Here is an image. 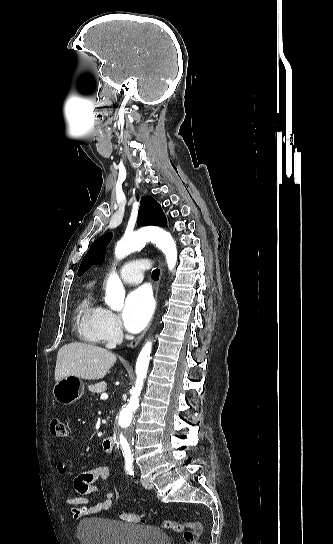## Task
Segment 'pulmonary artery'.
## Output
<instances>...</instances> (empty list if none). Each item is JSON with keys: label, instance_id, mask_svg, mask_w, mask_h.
<instances>
[{"label": "pulmonary artery", "instance_id": "obj_1", "mask_svg": "<svg viewBox=\"0 0 333 544\" xmlns=\"http://www.w3.org/2000/svg\"><path fill=\"white\" fill-rule=\"evenodd\" d=\"M147 269V262L143 259L131 260L120 269L121 279L128 284H138L143 280V273Z\"/></svg>", "mask_w": 333, "mask_h": 544}]
</instances>
